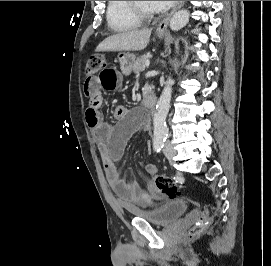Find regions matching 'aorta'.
I'll list each match as a JSON object with an SVG mask.
<instances>
[{
	"instance_id": "1",
	"label": "aorta",
	"mask_w": 271,
	"mask_h": 266,
	"mask_svg": "<svg viewBox=\"0 0 271 266\" xmlns=\"http://www.w3.org/2000/svg\"><path fill=\"white\" fill-rule=\"evenodd\" d=\"M189 18L190 13L188 10H179L170 19V29L172 31H178L182 29L189 22ZM172 84L173 80L171 79V77H169L165 83V87L156 105V110L153 117L154 140H163L168 133V128L166 126L165 120L170 109Z\"/></svg>"
}]
</instances>
